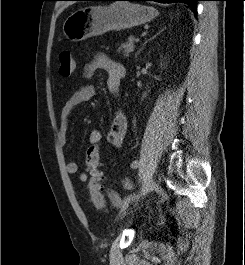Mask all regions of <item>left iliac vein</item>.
<instances>
[{"instance_id":"4c4485c4","label":"left iliac vein","mask_w":245,"mask_h":265,"mask_svg":"<svg viewBox=\"0 0 245 265\" xmlns=\"http://www.w3.org/2000/svg\"><path fill=\"white\" fill-rule=\"evenodd\" d=\"M156 187L155 181L151 178L148 179L145 184L143 185V188L140 192V197L146 196L149 192H151Z\"/></svg>"}]
</instances>
